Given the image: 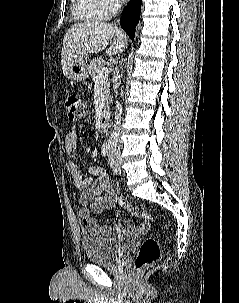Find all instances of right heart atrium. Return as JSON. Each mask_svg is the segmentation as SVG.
Masks as SVG:
<instances>
[{
	"label": "right heart atrium",
	"mask_w": 239,
	"mask_h": 303,
	"mask_svg": "<svg viewBox=\"0 0 239 303\" xmlns=\"http://www.w3.org/2000/svg\"><path fill=\"white\" fill-rule=\"evenodd\" d=\"M94 12L102 19L115 15L121 8V0H90Z\"/></svg>",
	"instance_id": "obj_1"
}]
</instances>
